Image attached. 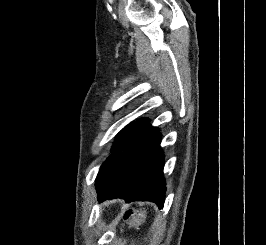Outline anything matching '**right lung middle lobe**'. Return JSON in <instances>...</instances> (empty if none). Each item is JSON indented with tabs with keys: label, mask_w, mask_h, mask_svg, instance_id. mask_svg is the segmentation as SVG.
Listing matches in <instances>:
<instances>
[{
	"label": "right lung middle lobe",
	"mask_w": 266,
	"mask_h": 245,
	"mask_svg": "<svg viewBox=\"0 0 266 245\" xmlns=\"http://www.w3.org/2000/svg\"><path fill=\"white\" fill-rule=\"evenodd\" d=\"M147 122H133L127 125L116 138L115 144L112 148V152H114L117 148H119L124 142H126L130 137H132L135 133H137L140 129H142Z\"/></svg>",
	"instance_id": "1"
}]
</instances>
